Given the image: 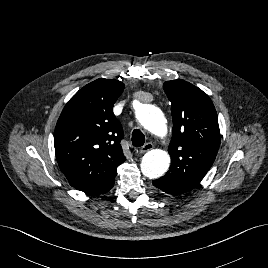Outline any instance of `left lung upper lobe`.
<instances>
[{"instance_id":"5c2ea615","label":"left lung upper lobe","mask_w":268,"mask_h":268,"mask_svg":"<svg viewBox=\"0 0 268 268\" xmlns=\"http://www.w3.org/2000/svg\"><path fill=\"white\" fill-rule=\"evenodd\" d=\"M171 102L173 134L168 147L169 171L152 184L180 195L194 189L206 175L220 144L218 117L209 96L184 80L164 83Z\"/></svg>"}]
</instances>
